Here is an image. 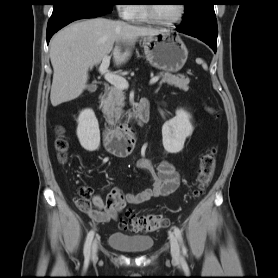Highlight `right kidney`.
Returning <instances> with one entry per match:
<instances>
[{"label": "right kidney", "mask_w": 278, "mask_h": 278, "mask_svg": "<svg viewBox=\"0 0 278 278\" xmlns=\"http://www.w3.org/2000/svg\"><path fill=\"white\" fill-rule=\"evenodd\" d=\"M77 137L81 146L89 151H95L100 145V130L98 120L92 109H84L77 119Z\"/></svg>", "instance_id": "1"}]
</instances>
